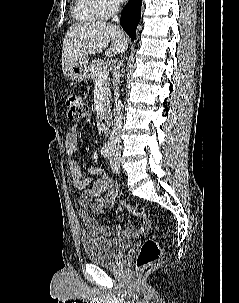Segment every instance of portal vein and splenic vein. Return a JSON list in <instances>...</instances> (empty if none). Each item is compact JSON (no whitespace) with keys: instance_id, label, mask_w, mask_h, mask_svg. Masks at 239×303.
I'll use <instances>...</instances> for the list:
<instances>
[{"instance_id":"obj_1","label":"portal vein and splenic vein","mask_w":239,"mask_h":303,"mask_svg":"<svg viewBox=\"0 0 239 303\" xmlns=\"http://www.w3.org/2000/svg\"><path fill=\"white\" fill-rule=\"evenodd\" d=\"M109 75V68L108 66H103V68L98 72V81L103 80Z\"/></svg>"}]
</instances>
